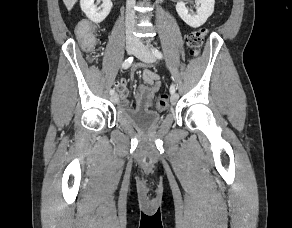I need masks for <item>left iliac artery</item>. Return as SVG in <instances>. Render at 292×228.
I'll use <instances>...</instances> for the list:
<instances>
[{
    "label": "left iliac artery",
    "mask_w": 292,
    "mask_h": 228,
    "mask_svg": "<svg viewBox=\"0 0 292 228\" xmlns=\"http://www.w3.org/2000/svg\"><path fill=\"white\" fill-rule=\"evenodd\" d=\"M152 53H153L154 56L157 57L158 59H162V58H163V54H162L157 48L152 47ZM175 91H176V89H175V85L172 84V85L170 86V93H171V94H174Z\"/></svg>",
    "instance_id": "44dca946"
}]
</instances>
